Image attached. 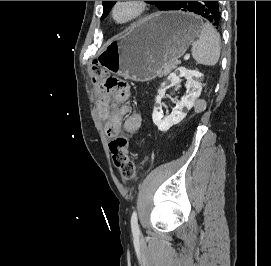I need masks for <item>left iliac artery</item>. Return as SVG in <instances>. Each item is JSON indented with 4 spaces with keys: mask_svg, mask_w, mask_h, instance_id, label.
<instances>
[{
    "mask_svg": "<svg viewBox=\"0 0 271 266\" xmlns=\"http://www.w3.org/2000/svg\"><path fill=\"white\" fill-rule=\"evenodd\" d=\"M131 229L134 234H139V226H138V221H137V213L134 211L131 216Z\"/></svg>",
    "mask_w": 271,
    "mask_h": 266,
    "instance_id": "obj_1",
    "label": "left iliac artery"
}]
</instances>
